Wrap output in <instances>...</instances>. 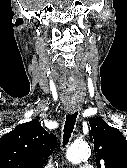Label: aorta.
Listing matches in <instances>:
<instances>
[{
	"instance_id": "obj_1",
	"label": "aorta",
	"mask_w": 127,
	"mask_h": 168,
	"mask_svg": "<svg viewBox=\"0 0 127 168\" xmlns=\"http://www.w3.org/2000/svg\"><path fill=\"white\" fill-rule=\"evenodd\" d=\"M91 150L86 143H74L67 150V159L72 163H80L90 157Z\"/></svg>"
}]
</instances>
